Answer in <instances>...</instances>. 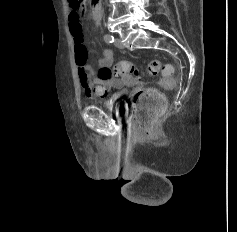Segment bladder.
Returning a JSON list of instances; mask_svg holds the SVG:
<instances>
[{
    "mask_svg": "<svg viewBox=\"0 0 237 232\" xmlns=\"http://www.w3.org/2000/svg\"><path fill=\"white\" fill-rule=\"evenodd\" d=\"M125 92L121 91L120 92V96H125ZM121 97V99L118 100H112L113 102L111 103H105V106L111 110L114 111V113L118 116V117H125L126 116V112H127V108H128V103L125 99H123Z\"/></svg>",
    "mask_w": 237,
    "mask_h": 232,
    "instance_id": "1",
    "label": "bladder"
}]
</instances>
